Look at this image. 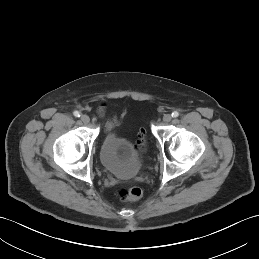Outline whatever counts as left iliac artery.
Instances as JSON below:
<instances>
[{
	"label": "left iliac artery",
	"mask_w": 259,
	"mask_h": 259,
	"mask_svg": "<svg viewBox=\"0 0 259 259\" xmlns=\"http://www.w3.org/2000/svg\"><path fill=\"white\" fill-rule=\"evenodd\" d=\"M178 116H179V112L177 111L172 112V117L176 118Z\"/></svg>",
	"instance_id": "left-iliac-artery-1"
}]
</instances>
